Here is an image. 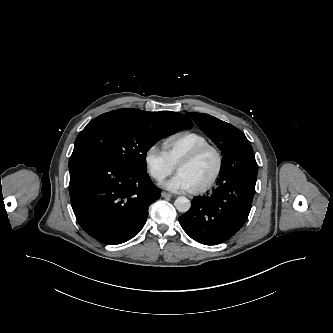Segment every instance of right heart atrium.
<instances>
[{
	"label": "right heart atrium",
	"mask_w": 333,
	"mask_h": 333,
	"mask_svg": "<svg viewBox=\"0 0 333 333\" xmlns=\"http://www.w3.org/2000/svg\"><path fill=\"white\" fill-rule=\"evenodd\" d=\"M144 164L148 174L157 182H163L175 170V165L165 152L155 144L146 149Z\"/></svg>",
	"instance_id": "1"
}]
</instances>
